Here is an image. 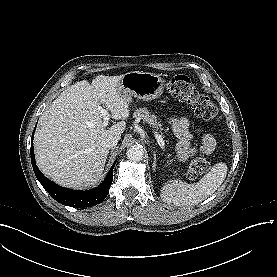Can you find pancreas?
I'll list each match as a JSON object with an SVG mask.
<instances>
[{
	"instance_id": "obj_1",
	"label": "pancreas",
	"mask_w": 277,
	"mask_h": 277,
	"mask_svg": "<svg viewBox=\"0 0 277 277\" xmlns=\"http://www.w3.org/2000/svg\"><path fill=\"white\" fill-rule=\"evenodd\" d=\"M134 118L143 120L150 124L155 130H162V124L158 121L157 116L151 114L147 108H139L133 114ZM176 172V171H175Z\"/></svg>"
}]
</instances>
